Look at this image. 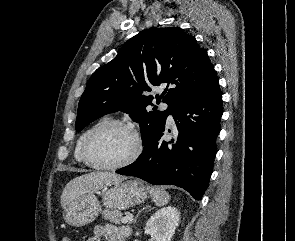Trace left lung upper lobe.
I'll return each instance as SVG.
<instances>
[{"label":"left lung upper lobe","mask_w":295,"mask_h":241,"mask_svg":"<svg viewBox=\"0 0 295 241\" xmlns=\"http://www.w3.org/2000/svg\"><path fill=\"white\" fill-rule=\"evenodd\" d=\"M216 77L206 50L181 28H151L127 41L117 56L91 76L78 106L76 131L113 111L129 113L139 123L146 147L174 108ZM166 86L157 103L165 111H148L153 86Z\"/></svg>","instance_id":"1"}]
</instances>
